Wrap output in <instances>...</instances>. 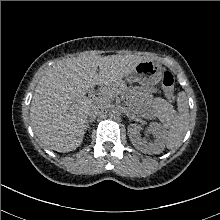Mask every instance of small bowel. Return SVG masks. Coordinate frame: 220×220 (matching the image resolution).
<instances>
[{"label": "small bowel", "mask_w": 220, "mask_h": 220, "mask_svg": "<svg viewBox=\"0 0 220 220\" xmlns=\"http://www.w3.org/2000/svg\"><path fill=\"white\" fill-rule=\"evenodd\" d=\"M150 92H152V89H148V90H147V93H150Z\"/></svg>", "instance_id": "obj_1"}]
</instances>
